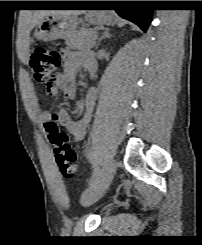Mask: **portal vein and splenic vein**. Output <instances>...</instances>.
Masks as SVG:
<instances>
[{"label": "portal vein and splenic vein", "mask_w": 202, "mask_h": 245, "mask_svg": "<svg viewBox=\"0 0 202 245\" xmlns=\"http://www.w3.org/2000/svg\"><path fill=\"white\" fill-rule=\"evenodd\" d=\"M93 44L95 43V39H94V41L92 42Z\"/></svg>", "instance_id": "18ae733b"}]
</instances>
